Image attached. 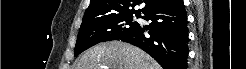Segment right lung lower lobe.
<instances>
[{"instance_id":"1","label":"right lung lower lobe","mask_w":246,"mask_h":69,"mask_svg":"<svg viewBox=\"0 0 246 69\" xmlns=\"http://www.w3.org/2000/svg\"><path fill=\"white\" fill-rule=\"evenodd\" d=\"M143 13L142 18L152 21L149 28L139 25L120 40L140 47L164 69H186L188 29L183 0H165Z\"/></svg>"}]
</instances>
